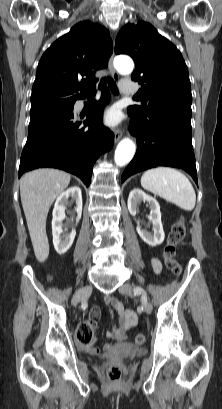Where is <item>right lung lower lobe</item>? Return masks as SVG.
Listing matches in <instances>:
<instances>
[{"label":"right lung lower lobe","mask_w":222,"mask_h":409,"mask_svg":"<svg viewBox=\"0 0 222 409\" xmlns=\"http://www.w3.org/2000/svg\"><path fill=\"white\" fill-rule=\"evenodd\" d=\"M101 91V100L83 123L77 120L74 103L56 105L30 119L18 177L32 169L53 167L75 174L89 186L96 159L114 142V134L102 124L101 110L109 102L105 83Z\"/></svg>","instance_id":"obj_1"}]
</instances>
